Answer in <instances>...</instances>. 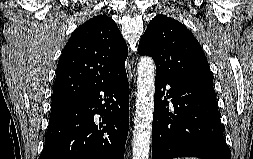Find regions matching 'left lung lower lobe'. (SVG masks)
<instances>
[{
	"label": "left lung lower lobe",
	"mask_w": 253,
	"mask_h": 159,
	"mask_svg": "<svg viewBox=\"0 0 253 159\" xmlns=\"http://www.w3.org/2000/svg\"><path fill=\"white\" fill-rule=\"evenodd\" d=\"M170 89L165 94L166 85ZM172 98L174 111L166 107ZM231 159L213 85L156 74L152 159Z\"/></svg>",
	"instance_id": "left-lung-lower-lobe-1"
}]
</instances>
